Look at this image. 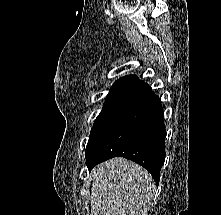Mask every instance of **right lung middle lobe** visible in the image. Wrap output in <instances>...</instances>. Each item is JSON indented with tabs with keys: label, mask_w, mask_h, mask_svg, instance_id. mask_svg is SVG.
<instances>
[{
	"label": "right lung middle lobe",
	"mask_w": 221,
	"mask_h": 215,
	"mask_svg": "<svg viewBox=\"0 0 221 215\" xmlns=\"http://www.w3.org/2000/svg\"><path fill=\"white\" fill-rule=\"evenodd\" d=\"M131 102L132 101L116 100L104 103L103 109L91 129L86 147V157L94 151L99 142L104 138Z\"/></svg>",
	"instance_id": "right-lung-middle-lobe-1"
}]
</instances>
